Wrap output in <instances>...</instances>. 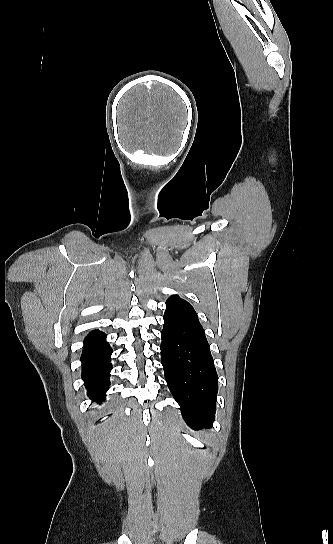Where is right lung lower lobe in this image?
<instances>
[{"mask_svg":"<svg viewBox=\"0 0 333 544\" xmlns=\"http://www.w3.org/2000/svg\"><path fill=\"white\" fill-rule=\"evenodd\" d=\"M112 349L106 341V334L99 330L89 333L84 340L82 379L93 400H102L109 388V376L112 369L110 357Z\"/></svg>","mask_w":333,"mask_h":544,"instance_id":"98d812e1","label":"right lung lower lobe"}]
</instances>
